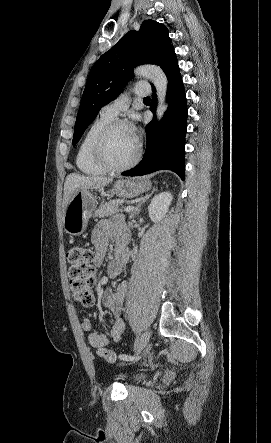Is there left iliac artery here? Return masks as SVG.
Listing matches in <instances>:
<instances>
[{
	"instance_id": "left-iliac-artery-1",
	"label": "left iliac artery",
	"mask_w": 271,
	"mask_h": 443,
	"mask_svg": "<svg viewBox=\"0 0 271 443\" xmlns=\"http://www.w3.org/2000/svg\"><path fill=\"white\" fill-rule=\"evenodd\" d=\"M119 358L124 361H134V360L137 361L141 358V356H131V355H127V354H121V355H119Z\"/></svg>"
}]
</instances>
